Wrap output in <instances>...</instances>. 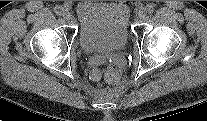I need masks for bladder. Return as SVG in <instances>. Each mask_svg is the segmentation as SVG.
Listing matches in <instances>:
<instances>
[{
    "instance_id": "1",
    "label": "bladder",
    "mask_w": 207,
    "mask_h": 121,
    "mask_svg": "<svg viewBox=\"0 0 207 121\" xmlns=\"http://www.w3.org/2000/svg\"><path fill=\"white\" fill-rule=\"evenodd\" d=\"M75 14L84 51L108 53L126 46L131 11L125 2L83 1L77 4Z\"/></svg>"
}]
</instances>
